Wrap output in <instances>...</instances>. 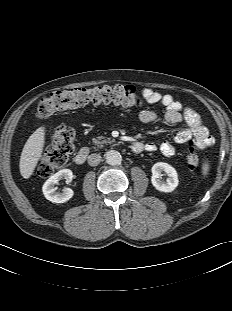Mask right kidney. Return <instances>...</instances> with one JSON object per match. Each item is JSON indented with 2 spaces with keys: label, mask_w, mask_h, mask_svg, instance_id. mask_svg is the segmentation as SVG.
Wrapping results in <instances>:
<instances>
[{
  "label": "right kidney",
  "mask_w": 232,
  "mask_h": 311,
  "mask_svg": "<svg viewBox=\"0 0 232 311\" xmlns=\"http://www.w3.org/2000/svg\"><path fill=\"white\" fill-rule=\"evenodd\" d=\"M65 179L67 183H70L73 179V173L70 169H62L51 176L42 187V191L46 199L53 203H64L68 201L74 195V192L70 188H64L63 192H56L54 187L60 180Z\"/></svg>",
  "instance_id": "1"
}]
</instances>
